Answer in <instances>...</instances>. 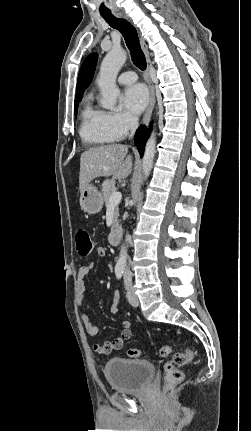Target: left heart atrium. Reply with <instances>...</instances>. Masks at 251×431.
<instances>
[{"label":"left heart atrium","instance_id":"39dd6f15","mask_svg":"<svg viewBox=\"0 0 251 431\" xmlns=\"http://www.w3.org/2000/svg\"><path fill=\"white\" fill-rule=\"evenodd\" d=\"M149 94L143 84H133L128 86L123 95L122 103L124 108L132 115H139L147 106Z\"/></svg>","mask_w":251,"mask_h":431}]
</instances>
